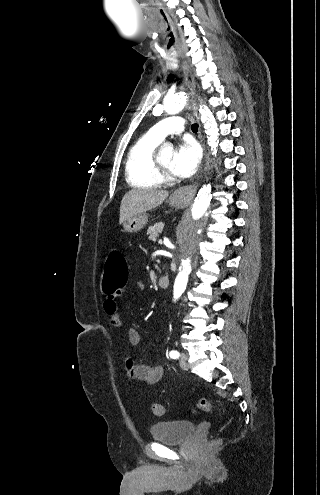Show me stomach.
Listing matches in <instances>:
<instances>
[{
    "label": "stomach",
    "mask_w": 320,
    "mask_h": 495,
    "mask_svg": "<svg viewBox=\"0 0 320 495\" xmlns=\"http://www.w3.org/2000/svg\"><path fill=\"white\" fill-rule=\"evenodd\" d=\"M169 204L176 208L181 209L187 205V202L178 198L175 195H171L169 198ZM148 222V215L146 213H141L128 218L124 223L123 227L128 233H135L143 229Z\"/></svg>",
    "instance_id": "stomach-1"
}]
</instances>
